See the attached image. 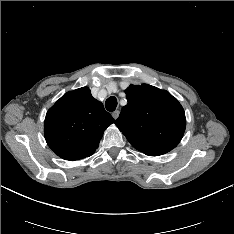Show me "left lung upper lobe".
I'll return each mask as SVG.
<instances>
[{"instance_id": "left-lung-upper-lobe-1", "label": "left lung upper lobe", "mask_w": 234, "mask_h": 234, "mask_svg": "<svg viewBox=\"0 0 234 234\" xmlns=\"http://www.w3.org/2000/svg\"><path fill=\"white\" fill-rule=\"evenodd\" d=\"M116 126L137 150L147 155L165 154L183 137V107L169 92L148 84L130 85Z\"/></svg>"}]
</instances>
